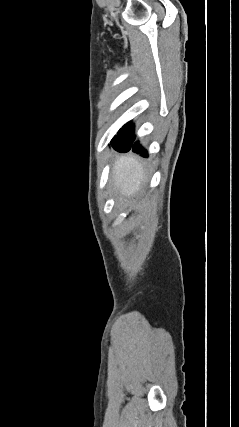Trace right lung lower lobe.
I'll return each instance as SVG.
<instances>
[{
    "instance_id": "right-lung-lower-lobe-1",
    "label": "right lung lower lobe",
    "mask_w": 239,
    "mask_h": 427,
    "mask_svg": "<svg viewBox=\"0 0 239 427\" xmlns=\"http://www.w3.org/2000/svg\"><path fill=\"white\" fill-rule=\"evenodd\" d=\"M130 149H133L134 152H136L137 154H140L143 157H147V152L139 145L138 142H135L133 145H131L129 149L117 150V151L125 153V152H128Z\"/></svg>"
}]
</instances>
